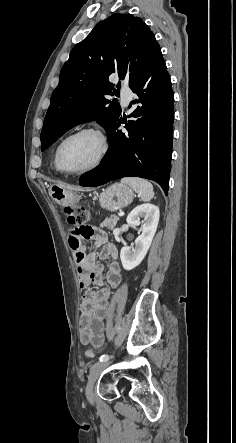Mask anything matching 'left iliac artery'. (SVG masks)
Here are the masks:
<instances>
[{
  "mask_svg": "<svg viewBox=\"0 0 236 443\" xmlns=\"http://www.w3.org/2000/svg\"><path fill=\"white\" fill-rule=\"evenodd\" d=\"M120 328H118V330H119ZM108 359H109V356L108 355H102L101 357H100V362H105V361H108Z\"/></svg>",
  "mask_w": 236,
  "mask_h": 443,
  "instance_id": "obj_1",
  "label": "left iliac artery"
}]
</instances>
